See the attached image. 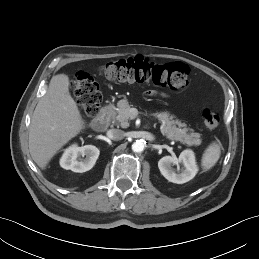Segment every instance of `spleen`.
Listing matches in <instances>:
<instances>
[{"label": "spleen", "mask_w": 259, "mask_h": 259, "mask_svg": "<svg viewBox=\"0 0 259 259\" xmlns=\"http://www.w3.org/2000/svg\"><path fill=\"white\" fill-rule=\"evenodd\" d=\"M221 155V144L219 142L211 143L205 150L201 165L204 170L211 169L219 160Z\"/></svg>", "instance_id": "obj_1"}]
</instances>
